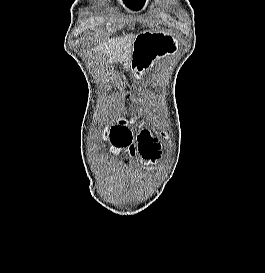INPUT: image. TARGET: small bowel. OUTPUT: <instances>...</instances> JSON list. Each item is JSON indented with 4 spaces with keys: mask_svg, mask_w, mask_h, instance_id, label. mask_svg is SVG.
Returning <instances> with one entry per match:
<instances>
[{
    "mask_svg": "<svg viewBox=\"0 0 265 273\" xmlns=\"http://www.w3.org/2000/svg\"><path fill=\"white\" fill-rule=\"evenodd\" d=\"M133 115L129 120L130 124H138L140 116L144 115V110H136L140 108L138 104H131ZM130 124H120L112 127L106 134L112 145L117 148H126L129 156L133 157L137 154L141 156L142 161L147 166H157L162 160V150L159 140L152 136L150 131L144 130L141 135L135 139L128 127Z\"/></svg>",
    "mask_w": 265,
    "mask_h": 273,
    "instance_id": "c3829d8e",
    "label": "small bowel"
}]
</instances>
